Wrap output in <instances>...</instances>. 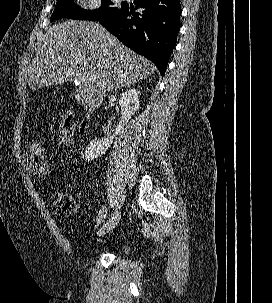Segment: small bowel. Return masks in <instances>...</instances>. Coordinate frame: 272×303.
Here are the masks:
<instances>
[{"label":"small bowel","instance_id":"1","mask_svg":"<svg viewBox=\"0 0 272 303\" xmlns=\"http://www.w3.org/2000/svg\"><path fill=\"white\" fill-rule=\"evenodd\" d=\"M23 164H24V168L27 172V174L31 177L34 178H40V179H44L48 176L49 172L41 174L36 172L33 169L32 163H31V153H30V149L27 150L26 153L23 154Z\"/></svg>","mask_w":272,"mask_h":303}]
</instances>
